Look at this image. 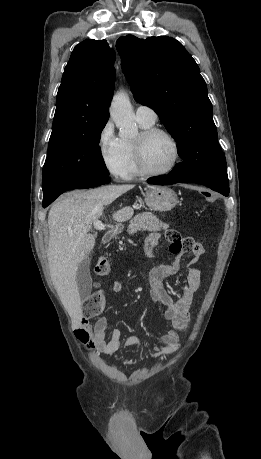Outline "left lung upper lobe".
Returning <instances> with one entry per match:
<instances>
[{
  "instance_id": "5c2ea615",
  "label": "left lung upper lobe",
  "mask_w": 261,
  "mask_h": 459,
  "mask_svg": "<svg viewBox=\"0 0 261 459\" xmlns=\"http://www.w3.org/2000/svg\"><path fill=\"white\" fill-rule=\"evenodd\" d=\"M116 48L135 100L159 115L178 144L183 162L174 169L188 176L226 168L206 83L182 44L165 36H126L117 40Z\"/></svg>"
}]
</instances>
